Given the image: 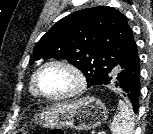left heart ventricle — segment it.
<instances>
[{
  "instance_id": "b2bd125f",
  "label": "left heart ventricle",
  "mask_w": 153,
  "mask_h": 134,
  "mask_svg": "<svg viewBox=\"0 0 153 134\" xmlns=\"http://www.w3.org/2000/svg\"><path fill=\"white\" fill-rule=\"evenodd\" d=\"M76 84L75 77L65 68L50 66L39 76L40 90L49 95H57L70 91Z\"/></svg>"
}]
</instances>
